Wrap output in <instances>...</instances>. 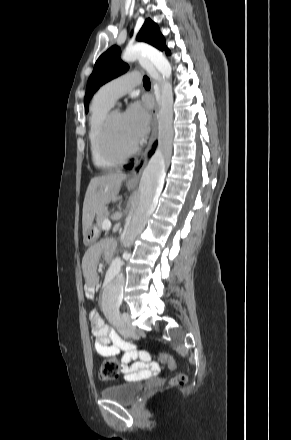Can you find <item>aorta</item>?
<instances>
[{"label": "aorta", "mask_w": 291, "mask_h": 440, "mask_svg": "<svg viewBox=\"0 0 291 440\" xmlns=\"http://www.w3.org/2000/svg\"><path fill=\"white\" fill-rule=\"evenodd\" d=\"M138 59H148L152 65L160 72L163 79H169L172 74V67L167 58L159 51L146 44H136L129 46L122 54V60L127 63ZM155 97L159 106H162L164 97L162 88L158 83L154 85ZM159 123L162 121L163 114L159 111ZM166 155L161 147H158L154 155L149 160L143 170L137 201L127 221L122 243L124 247H130L135 238L143 231L149 216L156 208L158 197L162 191L166 174ZM124 276L117 267L112 271L104 284L103 300L113 305H118L123 297Z\"/></svg>", "instance_id": "762f6f07"}]
</instances>
